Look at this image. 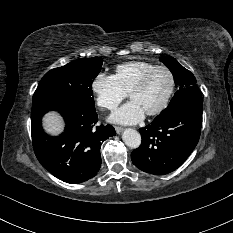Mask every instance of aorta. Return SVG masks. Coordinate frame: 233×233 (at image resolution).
<instances>
[{"label":"aorta","instance_id":"762f6f07","mask_svg":"<svg viewBox=\"0 0 233 233\" xmlns=\"http://www.w3.org/2000/svg\"><path fill=\"white\" fill-rule=\"evenodd\" d=\"M122 140L128 147L136 149L141 144V135L138 131L128 128L124 130Z\"/></svg>","mask_w":233,"mask_h":233}]
</instances>
